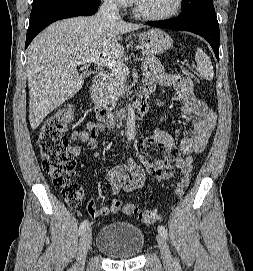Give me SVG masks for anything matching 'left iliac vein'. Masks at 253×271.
Segmentation results:
<instances>
[{
	"label": "left iliac vein",
	"instance_id": "left-iliac-vein-1",
	"mask_svg": "<svg viewBox=\"0 0 253 271\" xmlns=\"http://www.w3.org/2000/svg\"><path fill=\"white\" fill-rule=\"evenodd\" d=\"M156 239H157V242H158V246H159V249H160L162 261H163V264H164L165 268L166 269H172L173 265H174L173 258H172L169 246H168L165 238L161 234H158Z\"/></svg>",
	"mask_w": 253,
	"mask_h": 271
}]
</instances>
